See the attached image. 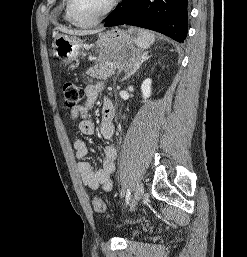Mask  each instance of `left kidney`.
I'll return each mask as SVG.
<instances>
[{"mask_svg":"<svg viewBox=\"0 0 247 257\" xmlns=\"http://www.w3.org/2000/svg\"><path fill=\"white\" fill-rule=\"evenodd\" d=\"M151 84H152V80L148 78V79L144 80L141 85L142 97L145 101L152 94Z\"/></svg>","mask_w":247,"mask_h":257,"instance_id":"1","label":"left kidney"}]
</instances>
